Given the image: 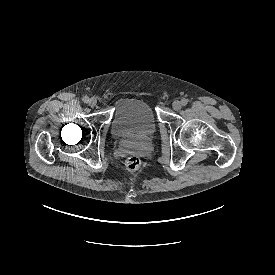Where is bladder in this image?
<instances>
[{
  "label": "bladder",
  "instance_id": "obj_1",
  "mask_svg": "<svg viewBox=\"0 0 275 275\" xmlns=\"http://www.w3.org/2000/svg\"><path fill=\"white\" fill-rule=\"evenodd\" d=\"M156 129L157 118L147 101L136 97H124L118 101L110 121L114 138H146Z\"/></svg>",
  "mask_w": 275,
  "mask_h": 275
}]
</instances>
